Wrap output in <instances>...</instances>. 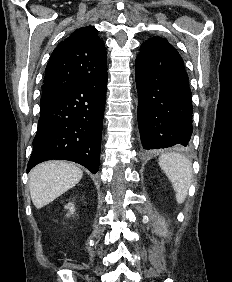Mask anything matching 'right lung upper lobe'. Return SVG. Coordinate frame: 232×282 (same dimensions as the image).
I'll return each instance as SVG.
<instances>
[{
  "label": "right lung upper lobe",
  "instance_id": "obj_1",
  "mask_svg": "<svg viewBox=\"0 0 232 282\" xmlns=\"http://www.w3.org/2000/svg\"><path fill=\"white\" fill-rule=\"evenodd\" d=\"M93 26L76 29L53 51L45 69L42 99L56 100L67 89L107 73L104 42Z\"/></svg>",
  "mask_w": 232,
  "mask_h": 282
}]
</instances>
